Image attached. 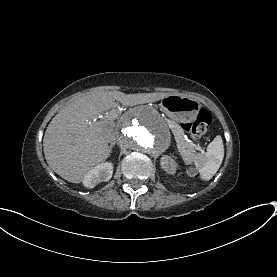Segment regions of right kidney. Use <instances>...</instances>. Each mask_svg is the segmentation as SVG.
Here are the masks:
<instances>
[{
  "mask_svg": "<svg viewBox=\"0 0 277 277\" xmlns=\"http://www.w3.org/2000/svg\"><path fill=\"white\" fill-rule=\"evenodd\" d=\"M113 174V164L110 162L97 164L91 168L83 177V186L94 188L100 182H107Z\"/></svg>",
  "mask_w": 277,
  "mask_h": 277,
  "instance_id": "obj_1",
  "label": "right kidney"
}]
</instances>
